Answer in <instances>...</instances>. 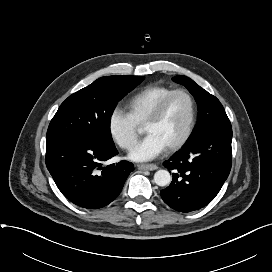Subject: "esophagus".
Wrapping results in <instances>:
<instances>
[{"mask_svg":"<svg viewBox=\"0 0 272 272\" xmlns=\"http://www.w3.org/2000/svg\"><path fill=\"white\" fill-rule=\"evenodd\" d=\"M137 168L139 170H156L158 167L155 164H138Z\"/></svg>","mask_w":272,"mask_h":272,"instance_id":"1","label":"esophagus"}]
</instances>
